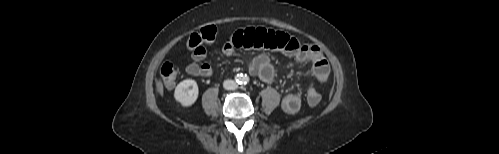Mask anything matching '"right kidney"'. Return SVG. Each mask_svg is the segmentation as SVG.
<instances>
[{
	"instance_id": "ca27d5eb",
	"label": "right kidney",
	"mask_w": 499,
	"mask_h": 154,
	"mask_svg": "<svg viewBox=\"0 0 499 154\" xmlns=\"http://www.w3.org/2000/svg\"><path fill=\"white\" fill-rule=\"evenodd\" d=\"M199 95L198 85L195 80L186 79L180 82L174 92V98L183 107H189L193 105Z\"/></svg>"
}]
</instances>
